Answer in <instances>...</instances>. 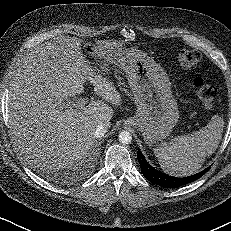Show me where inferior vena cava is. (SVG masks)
I'll use <instances>...</instances> for the list:
<instances>
[{
  "instance_id": "obj_1",
  "label": "inferior vena cava",
  "mask_w": 231,
  "mask_h": 231,
  "mask_svg": "<svg viewBox=\"0 0 231 231\" xmlns=\"http://www.w3.org/2000/svg\"><path fill=\"white\" fill-rule=\"evenodd\" d=\"M110 126H111L110 122L98 124L95 129V137L96 138L103 137L104 134L108 131Z\"/></svg>"
}]
</instances>
